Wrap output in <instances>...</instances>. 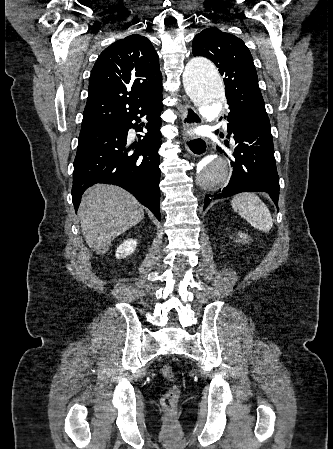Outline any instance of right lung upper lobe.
Instances as JSON below:
<instances>
[{
	"label": "right lung upper lobe",
	"mask_w": 333,
	"mask_h": 449,
	"mask_svg": "<svg viewBox=\"0 0 333 449\" xmlns=\"http://www.w3.org/2000/svg\"><path fill=\"white\" fill-rule=\"evenodd\" d=\"M162 74L150 40L133 34L107 47L90 75L81 130L116 122L160 97Z\"/></svg>",
	"instance_id": "right-lung-upper-lobe-1"
}]
</instances>
